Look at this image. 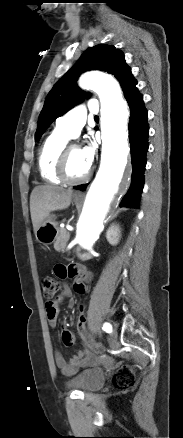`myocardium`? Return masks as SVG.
<instances>
[{"mask_svg": "<svg viewBox=\"0 0 183 438\" xmlns=\"http://www.w3.org/2000/svg\"><path fill=\"white\" fill-rule=\"evenodd\" d=\"M78 147L77 145H67L64 146V148L62 149V151L60 152L59 156H58V160H57V165H56V175L59 178V180L62 183L68 184V185H78L81 183L86 182L92 175V167L89 166L88 171L86 172V174L79 178V179H71L69 178V176L67 175V162H68V156L70 151L75 148Z\"/></svg>", "mask_w": 183, "mask_h": 438, "instance_id": "myocardium-1", "label": "myocardium"}]
</instances>
